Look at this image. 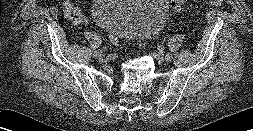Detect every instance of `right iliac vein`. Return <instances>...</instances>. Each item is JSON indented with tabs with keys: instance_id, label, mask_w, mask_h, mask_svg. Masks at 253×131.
I'll return each instance as SVG.
<instances>
[{
	"instance_id": "obj_1",
	"label": "right iliac vein",
	"mask_w": 253,
	"mask_h": 131,
	"mask_svg": "<svg viewBox=\"0 0 253 131\" xmlns=\"http://www.w3.org/2000/svg\"><path fill=\"white\" fill-rule=\"evenodd\" d=\"M94 56H96V55H94ZM96 57H98L99 59H103V55L102 54H100L99 56H96Z\"/></svg>"
}]
</instances>
